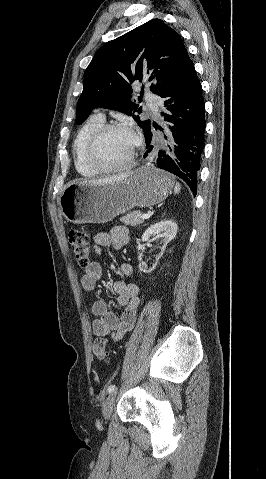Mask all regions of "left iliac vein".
I'll return each instance as SVG.
<instances>
[{
  "instance_id": "left-iliac-vein-1",
  "label": "left iliac vein",
  "mask_w": 266,
  "mask_h": 479,
  "mask_svg": "<svg viewBox=\"0 0 266 479\" xmlns=\"http://www.w3.org/2000/svg\"><path fill=\"white\" fill-rule=\"evenodd\" d=\"M116 396H117L116 391L110 393L108 395V397L106 398V400L104 401V403H103L102 414H103V417L106 420L110 419V417H111L113 407H114V404H115V400H116Z\"/></svg>"
}]
</instances>
